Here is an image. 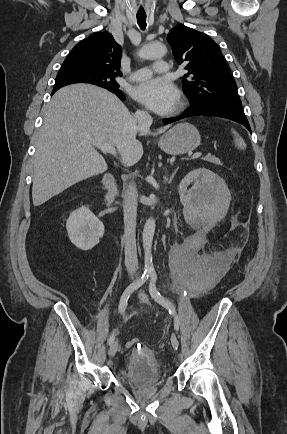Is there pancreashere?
<instances>
[{
    "mask_svg": "<svg viewBox=\"0 0 287 434\" xmlns=\"http://www.w3.org/2000/svg\"><path fill=\"white\" fill-rule=\"evenodd\" d=\"M204 161H208L210 163H214L216 165H222L221 161L215 156H206L203 158Z\"/></svg>",
    "mask_w": 287,
    "mask_h": 434,
    "instance_id": "1",
    "label": "pancreas"
}]
</instances>
